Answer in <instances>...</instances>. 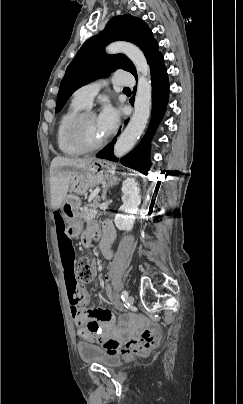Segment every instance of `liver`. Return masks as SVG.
Segmentation results:
<instances>
[{
    "mask_svg": "<svg viewBox=\"0 0 243 404\" xmlns=\"http://www.w3.org/2000/svg\"><path fill=\"white\" fill-rule=\"evenodd\" d=\"M93 160L94 158H61V156H57L52 160L50 166V194L53 210H58L63 200H65L73 170L75 168H86Z\"/></svg>",
    "mask_w": 243,
    "mask_h": 404,
    "instance_id": "1",
    "label": "liver"
}]
</instances>
